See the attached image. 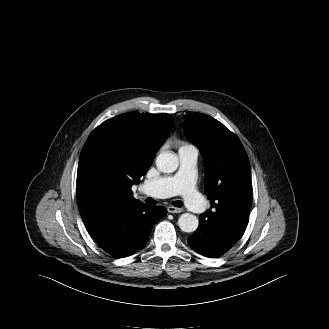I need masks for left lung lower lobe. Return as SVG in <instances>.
Returning a JSON list of instances; mask_svg holds the SVG:
<instances>
[{
	"mask_svg": "<svg viewBox=\"0 0 329 329\" xmlns=\"http://www.w3.org/2000/svg\"><path fill=\"white\" fill-rule=\"evenodd\" d=\"M249 218V207L236 209L235 217L211 222L204 215L199 217L198 229L188 238V244L199 254L218 257L227 252L243 236Z\"/></svg>",
	"mask_w": 329,
	"mask_h": 329,
	"instance_id": "obj_1",
	"label": "left lung lower lobe"
}]
</instances>
